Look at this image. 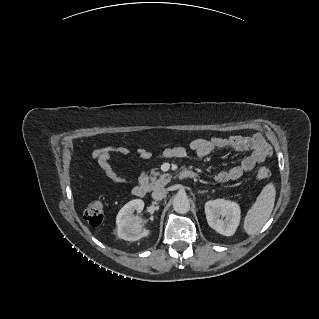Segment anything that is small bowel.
<instances>
[{
	"label": "small bowel",
	"mask_w": 319,
	"mask_h": 319,
	"mask_svg": "<svg viewBox=\"0 0 319 319\" xmlns=\"http://www.w3.org/2000/svg\"><path fill=\"white\" fill-rule=\"evenodd\" d=\"M193 152L199 158H205L215 152L234 151L248 152L249 154L240 164L223 170L215 175V180L219 183L240 179L244 173L252 171L258 164L265 161L269 155V149L260 134L252 136H230L226 138L216 137L212 139L196 138L193 139L188 147L176 146L167 148L163 155L167 158H185L189 152ZM131 150L124 144H112L96 149L93 158L97 161L103 175L112 183L121 185L125 183L124 178L118 174L111 165V158L118 154L126 156ZM137 156L143 160H149L151 152L146 148H138Z\"/></svg>",
	"instance_id": "1"
}]
</instances>
